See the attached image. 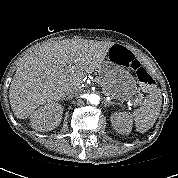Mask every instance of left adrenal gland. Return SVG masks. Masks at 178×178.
<instances>
[{
    "label": "left adrenal gland",
    "instance_id": "1",
    "mask_svg": "<svg viewBox=\"0 0 178 178\" xmlns=\"http://www.w3.org/2000/svg\"><path fill=\"white\" fill-rule=\"evenodd\" d=\"M105 103H106L107 106L117 104V103H115V102H110V101H105Z\"/></svg>",
    "mask_w": 178,
    "mask_h": 178
}]
</instances>
